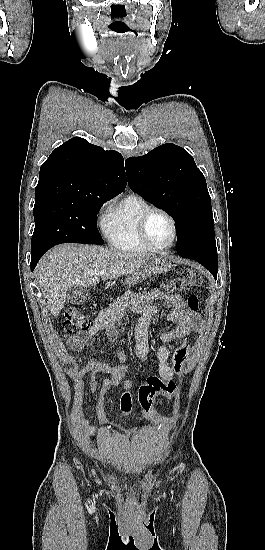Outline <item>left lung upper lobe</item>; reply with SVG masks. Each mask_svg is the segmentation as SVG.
I'll return each instance as SVG.
<instances>
[{
    "mask_svg": "<svg viewBox=\"0 0 265 550\" xmlns=\"http://www.w3.org/2000/svg\"><path fill=\"white\" fill-rule=\"evenodd\" d=\"M125 165L130 188L176 222L180 256L205 249L217 254L206 180L186 150L163 144L146 155L128 158Z\"/></svg>",
    "mask_w": 265,
    "mask_h": 550,
    "instance_id": "left-lung-upper-lobe-1",
    "label": "left lung upper lobe"
}]
</instances>
